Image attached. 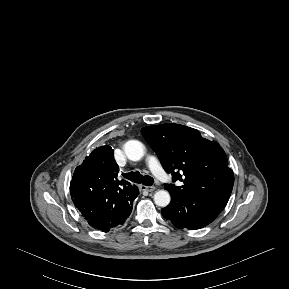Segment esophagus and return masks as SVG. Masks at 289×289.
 Returning <instances> with one entry per match:
<instances>
[{"label": "esophagus", "instance_id": "obj_1", "mask_svg": "<svg viewBox=\"0 0 289 289\" xmlns=\"http://www.w3.org/2000/svg\"><path fill=\"white\" fill-rule=\"evenodd\" d=\"M141 189L147 191V192H153L155 191V187L154 186H144V185H141Z\"/></svg>", "mask_w": 289, "mask_h": 289}]
</instances>
